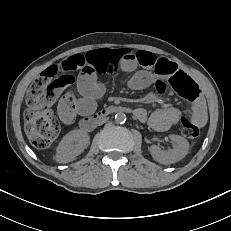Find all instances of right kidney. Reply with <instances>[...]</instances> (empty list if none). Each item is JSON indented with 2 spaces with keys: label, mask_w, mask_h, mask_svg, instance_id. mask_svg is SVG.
Segmentation results:
<instances>
[{
  "label": "right kidney",
  "mask_w": 231,
  "mask_h": 231,
  "mask_svg": "<svg viewBox=\"0 0 231 231\" xmlns=\"http://www.w3.org/2000/svg\"><path fill=\"white\" fill-rule=\"evenodd\" d=\"M90 144V137L86 132L73 130L67 133L59 143L55 160L59 163L73 161Z\"/></svg>",
  "instance_id": "right-kidney-1"
}]
</instances>
